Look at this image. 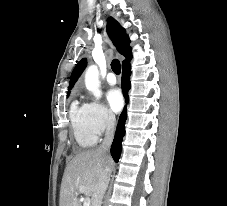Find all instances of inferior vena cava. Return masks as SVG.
<instances>
[{"label":"inferior vena cava","mask_w":227,"mask_h":206,"mask_svg":"<svg viewBox=\"0 0 227 206\" xmlns=\"http://www.w3.org/2000/svg\"><path fill=\"white\" fill-rule=\"evenodd\" d=\"M114 128H115V116L113 114H109L108 120H107V129H106L105 138L102 144L100 145V147L98 148L99 152L106 154V152L110 149L111 143L113 141ZM109 180H110L109 174H107L106 172H103L98 180L95 192L92 196L93 203H94L93 206H101L103 196L109 184Z\"/></svg>","instance_id":"obj_1"}]
</instances>
